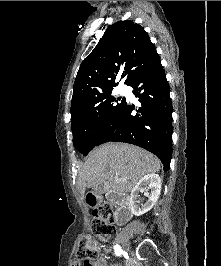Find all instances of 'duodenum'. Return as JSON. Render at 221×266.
<instances>
[{
  "mask_svg": "<svg viewBox=\"0 0 221 266\" xmlns=\"http://www.w3.org/2000/svg\"><path fill=\"white\" fill-rule=\"evenodd\" d=\"M111 198L118 205V211L116 213L117 225H123L127 223L132 216L129 196L114 193L111 195ZM85 203H88L89 206H98L100 203V195L95 194V191H88L87 198H85Z\"/></svg>",
  "mask_w": 221,
  "mask_h": 266,
  "instance_id": "obj_1",
  "label": "duodenum"
}]
</instances>
